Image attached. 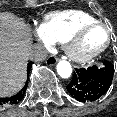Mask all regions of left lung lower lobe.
<instances>
[{
	"mask_svg": "<svg viewBox=\"0 0 117 117\" xmlns=\"http://www.w3.org/2000/svg\"><path fill=\"white\" fill-rule=\"evenodd\" d=\"M114 74V66L104 62V67L75 69L73 78L67 86L69 94L80 102H93L102 97L109 89Z\"/></svg>",
	"mask_w": 117,
	"mask_h": 117,
	"instance_id": "obj_1",
	"label": "left lung lower lobe"
}]
</instances>
